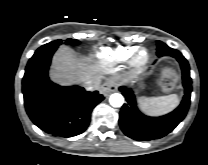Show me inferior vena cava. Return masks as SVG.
Listing matches in <instances>:
<instances>
[{
    "label": "inferior vena cava",
    "mask_w": 208,
    "mask_h": 165,
    "mask_svg": "<svg viewBox=\"0 0 208 165\" xmlns=\"http://www.w3.org/2000/svg\"><path fill=\"white\" fill-rule=\"evenodd\" d=\"M84 86L86 90L98 89L100 86V78L94 77L90 80L85 81Z\"/></svg>",
    "instance_id": "obj_1"
}]
</instances>
